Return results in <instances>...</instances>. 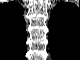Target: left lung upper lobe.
Returning a JSON list of instances; mask_svg holds the SVG:
<instances>
[{
    "label": "left lung upper lobe",
    "instance_id": "obj_1",
    "mask_svg": "<svg viewBox=\"0 0 80 60\" xmlns=\"http://www.w3.org/2000/svg\"><path fill=\"white\" fill-rule=\"evenodd\" d=\"M77 6L72 3H59L53 10L49 21V48L59 58L65 55L72 46L79 47L80 37L76 33L74 15Z\"/></svg>",
    "mask_w": 80,
    "mask_h": 60
}]
</instances>
